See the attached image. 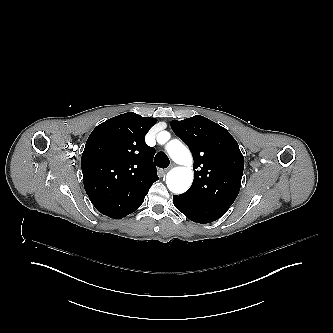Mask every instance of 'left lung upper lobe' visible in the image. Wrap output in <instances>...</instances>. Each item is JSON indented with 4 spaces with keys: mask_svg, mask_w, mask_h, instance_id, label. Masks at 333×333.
Wrapping results in <instances>:
<instances>
[{
    "mask_svg": "<svg viewBox=\"0 0 333 333\" xmlns=\"http://www.w3.org/2000/svg\"><path fill=\"white\" fill-rule=\"evenodd\" d=\"M171 128L194 158V180L182 197L229 209L235 201L244 169L237 141L222 126L200 115L173 120Z\"/></svg>",
    "mask_w": 333,
    "mask_h": 333,
    "instance_id": "1",
    "label": "left lung upper lobe"
}]
</instances>
